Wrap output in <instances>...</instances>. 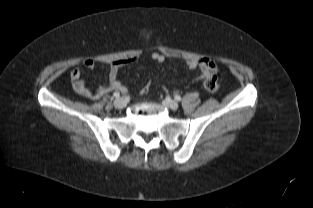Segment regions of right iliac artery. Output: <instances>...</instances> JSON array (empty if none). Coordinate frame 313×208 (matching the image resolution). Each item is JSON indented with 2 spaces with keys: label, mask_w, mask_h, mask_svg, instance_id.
<instances>
[{
  "label": "right iliac artery",
  "mask_w": 313,
  "mask_h": 208,
  "mask_svg": "<svg viewBox=\"0 0 313 208\" xmlns=\"http://www.w3.org/2000/svg\"><path fill=\"white\" fill-rule=\"evenodd\" d=\"M113 96H114L115 98H119V97H120V93H119V92H114V93H113Z\"/></svg>",
  "instance_id": "obj_1"
}]
</instances>
